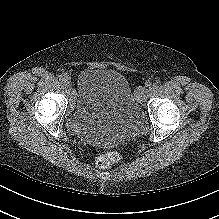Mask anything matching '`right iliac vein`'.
I'll return each instance as SVG.
<instances>
[{
  "label": "right iliac vein",
  "mask_w": 219,
  "mask_h": 219,
  "mask_svg": "<svg viewBox=\"0 0 219 219\" xmlns=\"http://www.w3.org/2000/svg\"><path fill=\"white\" fill-rule=\"evenodd\" d=\"M65 85L70 90V92L73 94L72 84L70 82H66Z\"/></svg>",
  "instance_id": "63e3f726"
}]
</instances>
